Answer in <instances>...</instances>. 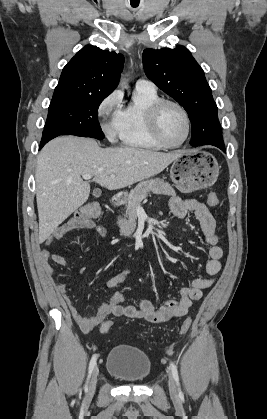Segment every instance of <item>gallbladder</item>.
Returning <instances> with one entry per match:
<instances>
[{
	"label": "gallbladder",
	"mask_w": 267,
	"mask_h": 419,
	"mask_svg": "<svg viewBox=\"0 0 267 419\" xmlns=\"http://www.w3.org/2000/svg\"><path fill=\"white\" fill-rule=\"evenodd\" d=\"M95 196H100L101 195V191L99 189H95V191L93 192Z\"/></svg>",
	"instance_id": "1"
}]
</instances>
